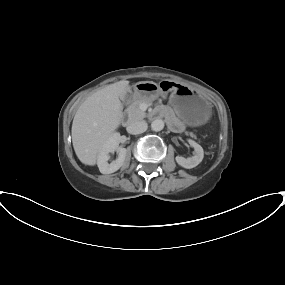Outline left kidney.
<instances>
[{"label":"left kidney","instance_id":"obj_1","mask_svg":"<svg viewBox=\"0 0 285 285\" xmlns=\"http://www.w3.org/2000/svg\"><path fill=\"white\" fill-rule=\"evenodd\" d=\"M188 142L194 148L195 155L187 159L181 156H177L176 162L186 169H191L196 167L203 160L204 151L203 148L195 141L189 139Z\"/></svg>","mask_w":285,"mask_h":285}]
</instances>
